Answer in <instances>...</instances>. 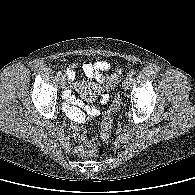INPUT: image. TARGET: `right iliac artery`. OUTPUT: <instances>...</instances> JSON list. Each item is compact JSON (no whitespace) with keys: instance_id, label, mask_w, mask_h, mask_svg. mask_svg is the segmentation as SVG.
<instances>
[{"instance_id":"obj_1","label":"right iliac artery","mask_w":195,"mask_h":195,"mask_svg":"<svg viewBox=\"0 0 195 195\" xmlns=\"http://www.w3.org/2000/svg\"><path fill=\"white\" fill-rule=\"evenodd\" d=\"M62 73L60 71L57 72V76H61Z\"/></svg>"}]
</instances>
